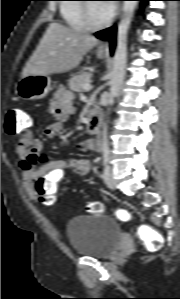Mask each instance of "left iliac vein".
I'll use <instances>...</instances> for the list:
<instances>
[{
    "mask_svg": "<svg viewBox=\"0 0 180 299\" xmlns=\"http://www.w3.org/2000/svg\"><path fill=\"white\" fill-rule=\"evenodd\" d=\"M103 180L109 188H115L116 182L113 175V169L110 165H107L104 169Z\"/></svg>",
    "mask_w": 180,
    "mask_h": 299,
    "instance_id": "obj_1",
    "label": "left iliac vein"
}]
</instances>
